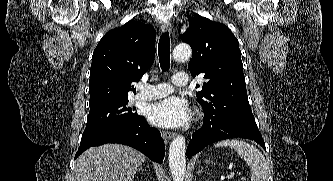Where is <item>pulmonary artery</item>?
Returning a JSON list of instances; mask_svg holds the SVG:
<instances>
[{"label": "pulmonary artery", "mask_w": 333, "mask_h": 181, "mask_svg": "<svg viewBox=\"0 0 333 181\" xmlns=\"http://www.w3.org/2000/svg\"><path fill=\"white\" fill-rule=\"evenodd\" d=\"M176 86H186L188 84V76L185 73H176L172 78ZM172 88L167 83H160L156 85H146L144 90L135 96L137 101L155 100L169 95Z\"/></svg>", "instance_id": "1"}]
</instances>
